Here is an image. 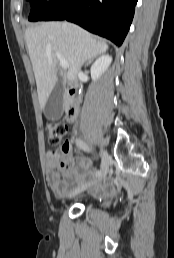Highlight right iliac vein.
Segmentation results:
<instances>
[{"label":"right iliac vein","mask_w":174,"mask_h":258,"mask_svg":"<svg viewBox=\"0 0 174 258\" xmlns=\"http://www.w3.org/2000/svg\"><path fill=\"white\" fill-rule=\"evenodd\" d=\"M102 162H101V175L100 178L104 177L108 171L109 168V156L108 153L105 150H102ZM86 186H82V187H78L77 189H75L71 194V196H74L76 194H78L79 192L83 191L85 189Z\"/></svg>","instance_id":"right-iliac-vein-1"}]
</instances>
